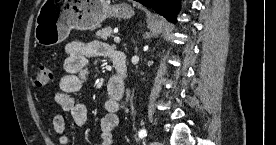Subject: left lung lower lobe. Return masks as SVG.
<instances>
[{
	"instance_id": "1",
	"label": "left lung lower lobe",
	"mask_w": 276,
	"mask_h": 145,
	"mask_svg": "<svg viewBox=\"0 0 276 145\" xmlns=\"http://www.w3.org/2000/svg\"><path fill=\"white\" fill-rule=\"evenodd\" d=\"M146 7L153 8L156 12L166 17L170 22H176V14L180 10L179 0H135Z\"/></svg>"
}]
</instances>
